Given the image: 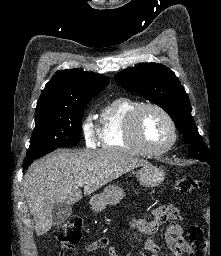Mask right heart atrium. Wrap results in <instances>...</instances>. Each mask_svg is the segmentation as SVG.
<instances>
[{
    "mask_svg": "<svg viewBox=\"0 0 221 256\" xmlns=\"http://www.w3.org/2000/svg\"><path fill=\"white\" fill-rule=\"evenodd\" d=\"M82 133L85 143L90 147L95 146L100 138V131L98 127L94 124L92 116L90 114L86 116L82 123Z\"/></svg>",
    "mask_w": 221,
    "mask_h": 256,
    "instance_id": "d8ad5b80",
    "label": "right heart atrium"
}]
</instances>
